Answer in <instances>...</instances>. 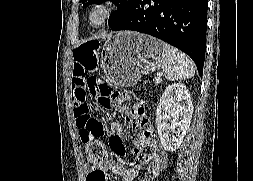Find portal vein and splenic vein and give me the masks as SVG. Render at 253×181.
<instances>
[{"label": "portal vein and splenic vein", "instance_id": "portal-vein-and-splenic-vein-1", "mask_svg": "<svg viewBox=\"0 0 253 181\" xmlns=\"http://www.w3.org/2000/svg\"><path fill=\"white\" fill-rule=\"evenodd\" d=\"M156 82H160L161 80L158 78V79H155Z\"/></svg>", "mask_w": 253, "mask_h": 181}]
</instances>
